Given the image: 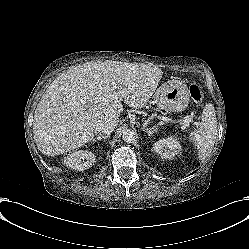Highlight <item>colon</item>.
<instances>
[{"label": "colon", "mask_w": 249, "mask_h": 249, "mask_svg": "<svg viewBox=\"0 0 249 249\" xmlns=\"http://www.w3.org/2000/svg\"><path fill=\"white\" fill-rule=\"evenodd\" d=\"M189 93H190L191 98H192L196 103H199V102L202 101V99H203V94H202V91H201L200 86H198L197 84H192V85L189 87Z\"/></svg>", "instance_id": "obj_1"}]
</instances>
